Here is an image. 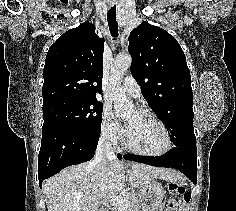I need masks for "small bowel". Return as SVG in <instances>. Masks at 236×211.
Listing matches in <instances>:
<instances>
[{
  "instance_id": "obj_1",
  "label": "small bowel",
  "mask_w": 236,
  "mask_h": 211,
  "mask_svg": "<svg viewBox=\"0 0 236 211\" xmlns=\"http://www.w3.org/2000/svg\"><path fill=\"white\" fill-rule=\"evenodd\" d=\"M179 211H187V206L186 205H182L181 208L179 209Z\"/></svg>"
}]
</instances>
